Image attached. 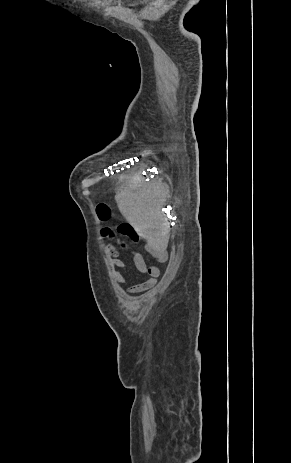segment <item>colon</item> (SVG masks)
Wrapping results in <instances>:
<instances>
[{"instance_id":"obj_1","label":"colon","mask_w":291,"mask_h":463,"mask_svg":"<svg viewBox=\"0 0 291 463\" xmlns=\"http://www.w3.org/2000/svg\"><path fill=\"white\" fill-rule=\"evenodd\" d=\"M96 214L101 223H109L113 218V212L108 204L100 203L96 207ZM118 233L119 235L132 240L133 242H139V235L136 233L134 228L127 222H119L116 225H106L101 229L102 241L110 242L111 237Z\"/></svg>"}]
</instances>
